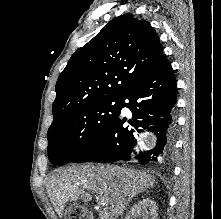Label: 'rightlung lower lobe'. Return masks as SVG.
<instances>
[{
  "label": "right lung lower lobe",
  "instance_id": "obj_1",
  "mask_svg": "<svg viewBox=\"0 0 221 219\" xmlns=\"http://www.w3.org/2000/svg\"><path fill=\"white\" fill-rule=\"evenodd\" d=\"M120 99L121 109L129 108L133 121L122 118L120 111L104 135L72 162L130 160L136 146V159L142 164L164 163L170 159L174 150L176 80L166 56L163 55ZM139 138L145 145L140 150Z\"/></svg>",
  "mask_w": 221,
  "mask_h": 219
}]
</instances>
